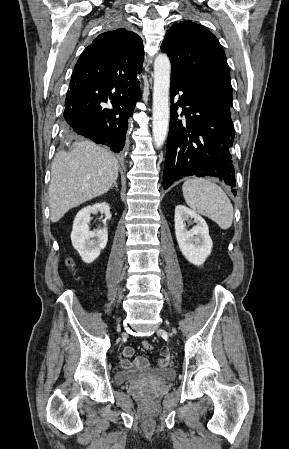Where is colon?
I'll use <instances>...</instances> for the list:
<instances>
[{"label": "colon", "mask_w": 289, "mask_h": 449, "mask_svg": "<svg viewBox=\"0 0 289 449\" xmlns=\"http://www.w3.org/2000/svg\"><path fill=\"white\" fill-rule=\"evenodd\" d=\"M69 264H71V261H69ZM142 346L146 350L152 349V345H151V343L149 341H143L142 342Z\"/></svg>", "instance_id": "obj_1"}]
</instances>
